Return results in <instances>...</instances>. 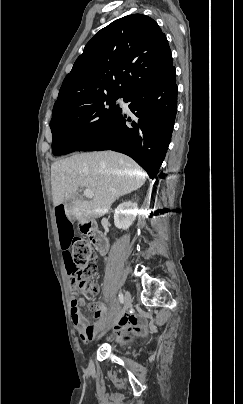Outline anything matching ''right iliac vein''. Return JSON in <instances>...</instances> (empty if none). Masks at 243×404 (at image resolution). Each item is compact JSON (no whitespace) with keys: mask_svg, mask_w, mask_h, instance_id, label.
I'll list each match as a JSON object with an SVG mask.
<instances>
[{"mask_svg":"<svg viewBox=\"0 0 243 404\" xmlns=\"http://www.w3.org/2000/svg\"><path fill=\"white\" fill-rule=\"evenodd\" d=\"M131 294L126 291L125 292V297H124V306L119 314V316L117 317V319H119L121 316H123L125 314V312L129 309V307L131 306ZM111 328V326H109L105 331H103L99 337L103 336L105 334V332L107 330H109ZM94 369V362L92 359L89 360V370H93Z\"/></svg>","mask_w":243,"mask_h":404,"instance_id":"63e3f726","label":"right iliac vein"}]
</instances>
